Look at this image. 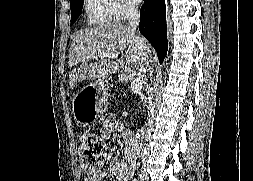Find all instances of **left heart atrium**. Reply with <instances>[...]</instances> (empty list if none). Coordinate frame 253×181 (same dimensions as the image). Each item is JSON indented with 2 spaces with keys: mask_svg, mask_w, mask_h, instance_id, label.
<instances>
[{
  "mask_svg": "<svg viewBox=\"0 0 253 181\" xmlns=\"http://www.w3.org/2000/svg\"><path fill=\"white\" fill-rule=\"evenodd\" d=\"M142 0H134V2L136 3H140Z\"/></svg>",
  "mask_w": 253,
  "mask_h": 181,
  "instance_id": "obj_1",
  "label": "left heart atrium"
}]
</instances>
